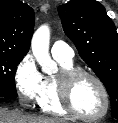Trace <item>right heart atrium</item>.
I'll use <instances>...</instances> for the list:
<instances>
[{"mask_svg":"<svg viewBox=\"0 0 118 123\" xmlns=\"http://www.w3.org/2000/svg\"><path fill=\"white\" fill-rule=\"evenodd\" d=\"M14 81L22 104L31 105L37 102L43 88V76L31 55L24 56L17 65Z\"/></svg>","mask_w":118,"mask_h":123,"instance_id":"right-heart-atrium-1","label":"right heart atrium"}]
</instances>
